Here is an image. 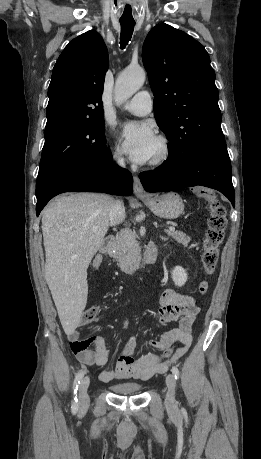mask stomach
<instances>
[{"label": "stomach", "mask_w": 261, "mask_h": 459, "mask_svg": "<svg viewBox=\"0 0 261 459\" xmlns=\"http://www.w3.org/2000/svg\"><path fill=\"white\" fill-rule=\"evenodd\" d=\"M151 211L162 218L175 219L184 211L182 198L175 192L142 198Z\"/></svg>", "instance_id": "obj_1"}]
</instances>
